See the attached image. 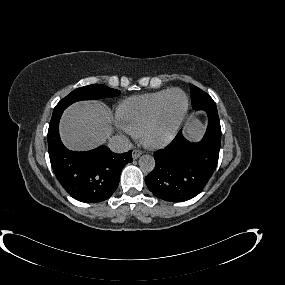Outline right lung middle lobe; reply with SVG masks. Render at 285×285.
Segmentation results:
<instances>
[{
  "instance_id": "obj_1",
  "label": "right lung middle lobe",
  "mask_w": 285,
  "mask_h": 285,
  "mask_svg": "<svg viewBox=\"0 0 285 285\" xmlns=\"http://www.w3.org/2000/svg\"><path fill=\"white\" fill-rule=\"evenodd\" d=\"M119 94V90L112 89L101 84H92L89 86H84L75 89L65 98H63L54 108L53 114L60 111H64L65 108L77 101L115 97Z\"/></svg>"
}]
</instances>
